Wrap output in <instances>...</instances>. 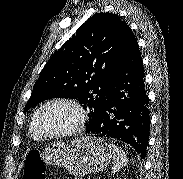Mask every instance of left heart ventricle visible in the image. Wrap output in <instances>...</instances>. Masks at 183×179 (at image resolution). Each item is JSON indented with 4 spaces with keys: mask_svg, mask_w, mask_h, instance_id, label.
<instances>
[{
    "mask_svg": "<svg viewBox=\"0 0 183 179\" xmlns=\"http://www.w3.org/2000/svg\"><path fill=\"white\" fill-rule=\"evenodd\" d=\"M77 119L75 110L66 104L49 106L41 117V128L45 133H60L71 128Z\"/></svg>",
    "mask_w": 183,
    "mask_h": 179,
    "instance_id": "1",
    "label": "left heart ventricle"
}]
</instances>
